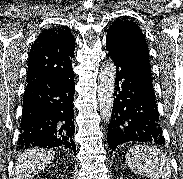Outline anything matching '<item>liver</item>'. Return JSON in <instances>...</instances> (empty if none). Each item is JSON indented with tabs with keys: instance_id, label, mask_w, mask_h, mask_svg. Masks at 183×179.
I'll list each match as a JSON object with an SVG mask.
<instances>
[{
	"instance_id": "obj_1",
	"label": "liver",
	"mask_w": 183,
	"mask_h": 179,
	"mask_svg": "<svg viewBox=\"0 0 183 179\" xmlns=\"http://www.w3.org/2000/svg\"><path fill=\"white\" fill-rule=\"evenodd\" d=\"M54 158L53 150L32 148L23 152L17 158L14 179H30L50 164Z\"/></svg>"
}]
</instances>
